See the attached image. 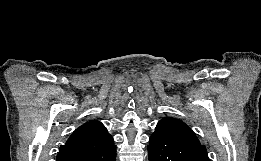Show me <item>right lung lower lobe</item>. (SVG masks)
I'll return each mask as SVG.
<instances>
[{
    "label": "right lung lower lobe",
    "mask_w": 261,
    "mask_h": 161,
    "mask_svg": "<svg viewBox=\"0 0 261 161\" xmlns=\"http://www.w3.org/2000/svg\"><path fill=\"white\" fill-rule=\"evenodd\" d=\"M57 161H116V145L112 142L101 150L70 155Z\"/></svg>",
    "instance_id": "obj_1"
}]
</instances>
